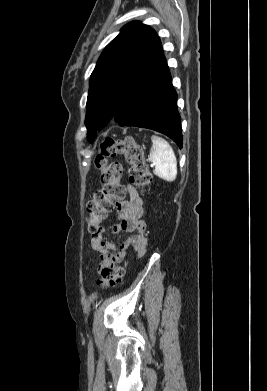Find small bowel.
<instances>
[{"instance_id":"small-bowel-1","label":"small bowel","mask_w":267,"mask_h":391,"mask_svg":"<svg viewBox=\"0 0 267 391\" xmlns=\"http://www.w3.org/2000/svg\"><path fill=\"white\" fill-rule=\"evenodd\" d=\"M129 198L116 203V222L111 226L114 234L126 232L131 234L119 247L103 237L104 229L92 238L90 248L99 255L98 272L104 268L114 266L126 258L127 251L133 248L137 257H142L147 248L145 236L146 224L141 219L143 215V201L133 186H128Z\"/></svg>"}]
</instances>
